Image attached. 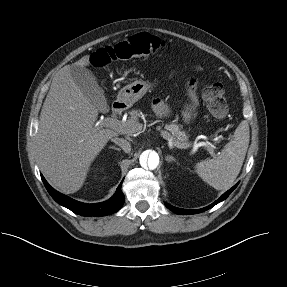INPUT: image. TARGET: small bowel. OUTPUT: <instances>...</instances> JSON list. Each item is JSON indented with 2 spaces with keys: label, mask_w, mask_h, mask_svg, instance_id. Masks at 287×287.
I'll use <instances>...</instances> for the list:
<instances>
[{
  "label": "small bowel",
  "mask_w": 287,
  "mask_h": 287,
  "mask_svg": "<svg viewBox=\"0 0 287 287\" xmlns=\"http://www.w3.org/2000/svg\"><path fill=\"white\" fill-rule=\"evenodd\" d=\"M188 91H189V104L186 106L183 113V118L186 122L192 120L197 105L195 80L191 79L188 81ZM153 108L159 116H167L169 113L166 104L160 99H156L154 101Z\"/></svg>",
  "instance_id": "obj_1"
}]
</instances>
